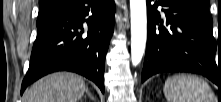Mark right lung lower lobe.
Here are the masks:
<instances>
[{"instance_id": "98d812e1", "label": "right lung lower lobe", "mask_w": 221, "mask_h": 102, "mask_svg": "<svg viewBox=\"0 0 221 102\" xmlns=\"http://www.w3.org/2000/svg\"><path fill=\"white\" fill-rule=\"evenodd\" d=\"M114 0H71L37 23L26 87L55 71H72L94 81L104 93L105 56L114 30Z\"/></svg>"}]
</instances>
